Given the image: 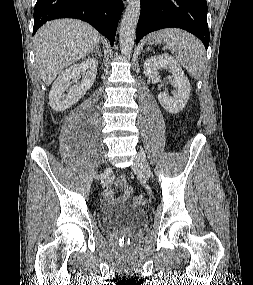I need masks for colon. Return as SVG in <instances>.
<instances>
[{
    "label": "colon",
    "instance_id": "1",
    "mask_svg": "<svg viewBox=\"0 0 253 285\" xmlns=\"http://www.w3.org/2000/svg\"><path fill=\"white\" fill-rule=\"evenodd\" d=\"M147 199L144 195L139 194L133 198V202L135 205L142 206L146 203Z\"/></svg>",
    "mask_w": 253,
    "mask_h": 285
}]
</instances>
